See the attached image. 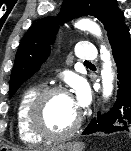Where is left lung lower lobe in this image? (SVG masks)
Returning <instances> with one entry per match:
<instances>
[{"instance_id":"1","label":"left lung lower lobe","mask_w":131,"mask_h":151,"mask_svg":"<svg viewBox=\"0 0 131 151\" xmlns=\"http://www.w3.org/2000/svg\"><path fill=\"white\" fill-rule=\"evenodd\" d=\"M112 54L117 65L118 91L114 106L105 115L93 119L83 134L131 133V40L129 34L115 40Z\"/></svg>"}]
</instances>
